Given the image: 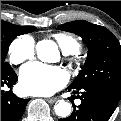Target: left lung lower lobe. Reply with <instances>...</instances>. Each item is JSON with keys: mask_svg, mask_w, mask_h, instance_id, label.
Wrapping results in <instances>:
<instances>
[{"mask_svg": "<svg viewBox=\"0 0 121 121\" xmlns=\"http://www.w3.org/2000/svg\"><path fill=\"white\" fill-rule=\"evenodd\" d=\"M73 93H81V104L76 107L68 118L58 121H108L116 109L120 99L109 92L96 87H83L79 89L68 87Z\"/></svg>", "mask_w": 121, "mask_h": 121, "instance_id": "1", "label": "left lung lower lobe"}]
</instances>
